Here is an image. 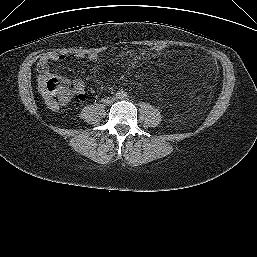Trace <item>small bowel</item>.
<instances>
[{"instance_id":"c3829d8e","label":"small bowel","mask_w":257,"mask_h":257,"mask_svg":"<svg viewBox=\"0 0 257 257\" xmlns=\"http://www.w3.org/2000/svg\"><path fill=\"white\" fill-rule=\"evenodd\" d=\"M88 58L91 61H95L97 59L96 54H90ZM66 59V56L61 53H46L41 56L37 63V71H38V81L40 84H43L51 75L50 72V63L51 62H58V61H63ZM63 84L71 87L73 91L78 95L80 100H85V86L84 83L81 79L79 78H74V79H69L64 76H56Z\"/></svg>"}]
</instances>
